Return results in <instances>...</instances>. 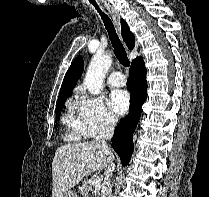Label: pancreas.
Here are the masks:
<instances>
[{
    "label": "pancreas",
    "instance_id": "cf45deb5",
    "mask_svg": "<svg viewBox=\"0 0 209 197\" xmlns=\"http://www.w3.org/2000/svg\"><path fill=\"white\" fill-rule=\"evenodd\" d=\"M100 189V185L92 186L91 180H84L79 191L84 197H99Z\"/></svg>",
    "mask_w": 209,
    "mask_h": 197
}]
</instances>
